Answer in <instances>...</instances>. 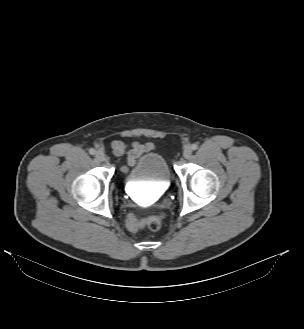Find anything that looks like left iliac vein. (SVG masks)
I'll return each mask as SVG.
<instances>
[{"mask_svg":"<svg viewBox=\"0 0 304 329\" xmlns=\"http://www.w3.org/2000/svg\"><path fill=\"white\" fill-rule=\"evenodd\" d=\"M191 155H192L191 148H185L184 151H183V157L185 159H188V158H190Z\"/></svg>","mask_w":304,"mask_h":329,"instance_id":"left-iliac-vein-1","label":"left iliac vein"}]
</instances>
